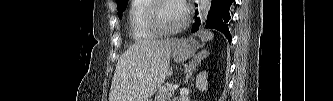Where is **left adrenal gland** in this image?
I'll return each mask as SVG.
<instances>
[{"mask_svg": "<svg viewBox=\"0 0 333 101\" xmlns=\"http://www.w3.org/2000/svg\"><path fill=\"white\" fill-rule=\"evenodd\" d=\"M209 55V52L206 51V49L201 50L197 56L194 57V59L189 63L187 68L185 69V83H188L189 79L191 78L193 72L195 71L196 67L203 61L207 56Z\"/></svg>", "mask_w": 333, "mask_h": 101, "instance_id": "obj_1", "label": "left adrenal gland"}]
</instances>
